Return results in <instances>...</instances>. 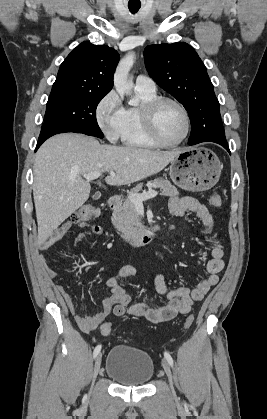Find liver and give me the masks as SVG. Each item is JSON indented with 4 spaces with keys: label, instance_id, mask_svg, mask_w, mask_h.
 I'll return each mask as SVG.
<instances>
[{
    "label": "liver",
    "instance_id": "obj_1",
    "mask_svg": "<svg viewBox=\"0 0 267 419\" xmlns=\"http://www.w3.org/2000/svg\"><path fill=\"white\" fill-rule=\"evenodd\" d=\"M182 151L112 146L74 133L49 138L37 151L33 168L38 244L89 198L91 185L82 175L112 170L116 174L105 178L107 184H131L160 172Z\"/></svg>",
    "mask_w": 267,
    "mask_h": 419
}]
</instances>
